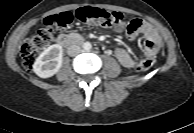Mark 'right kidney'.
Masks as SVG:
<instances>
[{
  "label": "right kidney",
  "mask_w": 194,
  "mask_h": 133,
  "mask_svg": "<svg viewBox=\"0 0 194 133\" xmlns=\"http://www.w3.org/2000/svg\"><path fill=\"white\" fill-rule=\"evenodd\" d=\"M63 50L58 44L45 49L33 64V71L41 78L55 75L62 66Z\"/></svg>",
  "instance_id": "obj_1"
}]
</instances>
